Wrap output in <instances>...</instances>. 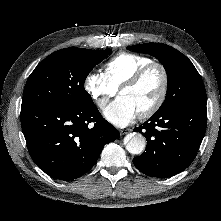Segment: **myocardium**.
<instances>
[{
	"label": "myocardium",
	"mask_w": 221,
	"mask_h": 221,
	"mask_svg": "<svg viewBox=\"0 0 221 221\" xmlns=\"http://www.w3.org/2000/svg\"><path fill=\"white\" fill-rule=\"evenodd\" d=\"M154 68H158L162 73V77H163L162 89L156 101L149 108L138 113V116L142 119L149 118L152 115H154L162 107V105L164 104L167 98L169 85H170V77H169V73L166 67L163 64L158 63V62L148 63L144 65L143 67H141L140 69H138L131 77H129L126 81H124L122 85L119 87V94H121V92L124 89L137 85L142 80V78L151 69H154Z\"/></svg>",
	"instance_id": "f54148a6"
}]
</instances>
